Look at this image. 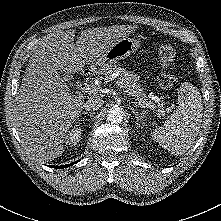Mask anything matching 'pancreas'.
<instances>
[{"label":"pancreas","instance_id":"pancreas-1","mask_svg":"<svg viewBox=\"0 0 221 221\" xmlns=\"http://www.w3.org/2000/svg\"><path fill=\"white\" fill-rule=\"evenodd\" d=\"M113 73L119 74L120 79L118 82L122 87L125 88V92L128 93L129 96L136 98V100H138V102L142 105L147 104L148 108L157 112V116L159 118L165 115L163 104H155L153 101H149L148 97L144 93L143 88H141V85L138 84L139 77L137 75H134L132 72H129L123 67L116 66L107 72L105 82L110 80L111 74Z\"/></svg>","mask_w":221,"mask_h":221}]
</instances>
